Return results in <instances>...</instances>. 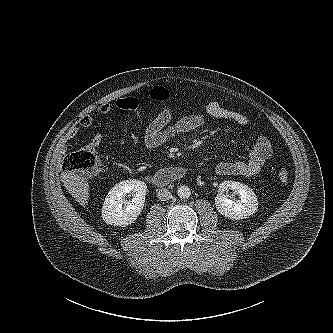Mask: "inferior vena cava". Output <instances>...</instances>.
Masks as SVG:
<instances>
[{
    "label": "inferior vena cava",
    "instance_id": "1",
    "mask_svg": "<svg viewBox=\"0 0 333 333\" xmlns=\"http://www.w3.org/2000/svg\"><path fill=\"white\" fill-rule=\"evenodd\" d=\"M157 197L160 201H167L172 198V194L168 189L162 188L158 191Z\"/></svg>",
    "mask_w": 333,
    "mask_h": 333
}]
</instances>
